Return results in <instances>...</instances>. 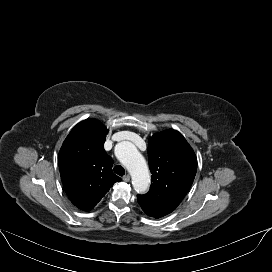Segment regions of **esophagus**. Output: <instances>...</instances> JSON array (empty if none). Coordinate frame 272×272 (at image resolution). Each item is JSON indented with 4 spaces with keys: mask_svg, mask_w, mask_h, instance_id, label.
<instances>
[{
    "mask_svg": "<svg viewBox=\"0 0 272 272\" xmlns=\"http://www.w3.org/2000/svg\"><path fill=\"white\" fill-rule=\"evenodd\" d=\"M122 179H123L124 182H129L130 181V175L126 174L125 176H123Z\"/></svg>",
    "mask_w": 272,
    "mask_h": 272,
    "instance_id": "34e87169",
    "label": "esophagus"
}]
</instances>
